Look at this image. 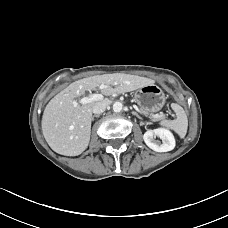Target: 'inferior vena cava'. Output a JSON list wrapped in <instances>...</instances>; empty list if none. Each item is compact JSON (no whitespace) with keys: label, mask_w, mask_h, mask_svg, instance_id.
I'll return each instance as SVG.
<instances>
[{"label":"inferior vena cava","mask_w":228,"mask_h":228,"mask_svg":"<svg viewBox=\"0 0 228 228\" xmlns=\"http://www.w3.org/2000/svg\"><path fill=\"white\" fill-rule=\"evenodd\" d=\"M108 105H109V103L108 102H105V101L97 102L93 106L92 112L94 114H101V113H103L106 110V108H107Z\"/></svg>","instance_id":"inferior-vena-cava-1"}]
</instances>
